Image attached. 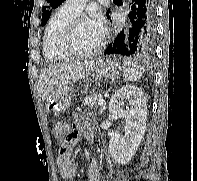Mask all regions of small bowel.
<instances>
[{
  "mask_svg": "<svg viewBox=\"0 0 197 181\" xmlns=\"http://www.w3.org/2000/svg\"><path fill=\"white\" fill-rule=\"evenodd\" d=\"M92 119L87 115H77L74 118L70 130L65 137L61 138L57 165L65 179L72 180L77 174V165L72 158V148L79 137L84 135L93 140L94 134L91 130ZM66 148V150H64ZM101 171L97 160H92L87 169V181H101Z\"/></svg>",
  "mask_w": 197,
  "mask_h": 181,
  "instance_id": "obj_1",
  "label": "small bowel"
}]
</instances>
